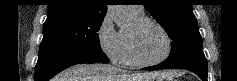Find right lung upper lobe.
<instances>
[{
    "label": "right lung upper lobe",
    "instance_id": "obj_1",
    "mask_svg": "<svg viewBox=\"0 0 237 81\" xmlns=\"http://www.w3.org/2000/svg\"><path fill=\"white\" fill-rule=\"evenodd\" d=\"M108 0H51L47 19L58 16H90L104 18Z\"/></svg>",
    "mask_w": 237,
    "mask_h": 81
}]
</instances>
